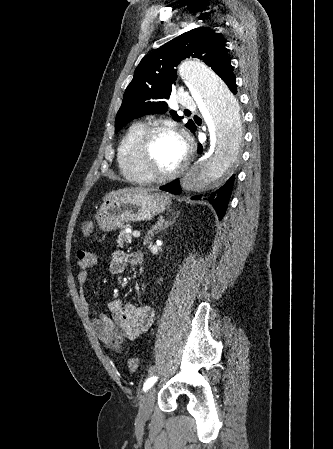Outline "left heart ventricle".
I'll return each instance as SVG.
<instances>
[{
	"instance_id": "b2bd125f",
	"label": "left heart ventricle",
	"mask_w": 333,
	"mask_h": 449,
	"mask_svg": "<svg viewBox=\"0 0 333 449\" xmlns=\"http://www.w3.org/2000/svg\"><path fill=\"white\" fill-rule=\"evenodd\" d=\"M184 155L185 149L180 138L162 131L153 139L149 164L157 172H170L181 163Z\"/></svg>"
}]
</instances>
